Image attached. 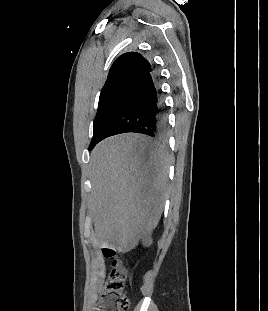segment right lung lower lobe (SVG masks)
Here are the masks:
<instances>
[{
    "label": "right lung lower lobe",
    "mask_w": 268,
    "mask_h": 311,
    "mask_svg": "<svg viewBox=\"0 0 268 311\" xmlns=\"http://www.w3.org/2000/svg\"><path fill=\"white\" fill-rule=\"evenodd\" d=\"M167 119L165 106L159 89V80L153 68L136 84L133 95L127 104L103 132L104 138L135 132L153 139H162L166 135ZM94 147H90L92 150Z\"/></svg>",
    "instance_id": "1"
}]
</instances>
